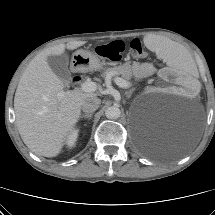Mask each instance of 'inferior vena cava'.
<instances>
[{
    "label": "inferior vena cava",
    "instance_id": "inferior-vena-cava-1",
    "mask_svg": "<svg viewBox=\"0 0 215 215\" xmlns=\"http://www.w3.org/2000/svg\"><path fill=\"white\" fill-rule=\"evenodd\" d=\"M101 104V100L97 97H90L87 98L83 103H82V110L85 113H92L98 109V107Z\"/></svg>",
    "mask_w": 215,
    "mask_h": 215
}]
</instances>
